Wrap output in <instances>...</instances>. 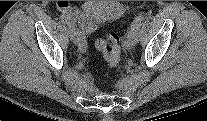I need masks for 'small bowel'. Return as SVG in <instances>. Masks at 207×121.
Masks as SVG:
<instances>
[{
  "mask_svg": "<svg viewBox=\"0 0 207 121\" xmlns=\"http://www.w3.org/2000/svg\"><path fill=\"white\" fill-rule=\"evenodd\" d=\"M57 6L61 11L65 12L68 17H71L73 19H80L78 10L72 7L67 1H58ZM82 28L85 31H89L91 29V26L85 22H82Z\"/></svg>",
  "mask_w": 207,
  "mask_h": 121,
  "instance_id": "obj_1",
  "label": "small bowel"
}]
</instances>
